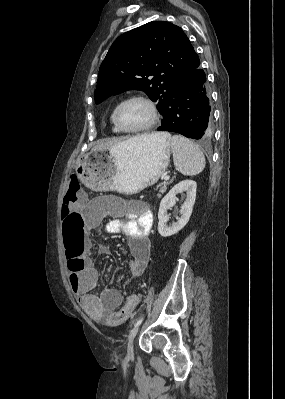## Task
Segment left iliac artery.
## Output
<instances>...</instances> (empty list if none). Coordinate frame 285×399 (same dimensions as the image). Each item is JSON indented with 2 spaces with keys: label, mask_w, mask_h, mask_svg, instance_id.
<instances>
[{
  "label": "left iliac artery",
  "mask_w": 285,
  "mask_h": 399,
  "mask_svg": "<svg viewBox=\"0 0 285 399\" xmlns=\"http://www.w3.org/2000/svg\"><path fill=\"white\" fill-rule=\"evenodd\" d=\"M143 319H144V316L141 317V318H139V319L137 320V322L135 323V327H137L138 325H140V324L142 323Z\"/></svg>",
  "instance_id": "44dca946"
}]
</instances>
